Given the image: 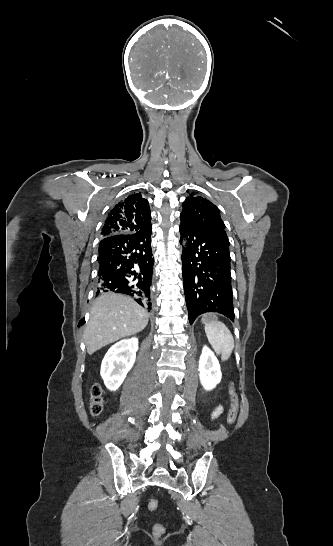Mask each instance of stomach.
<instances>
[{"instance_id":"obj_1","label":"stomach","mask_w":333,"mask_h":546,"mask_svg":"<svg viewBox=\"0 0 333 546\" xmlns=\"http://www.w3.org/2000/svg\"><path fill=\"white\" fill-rule=\"evenodd\" d=\"M206 318H207V317H204V318L202 319V322H203V323L206 322Z\"/></svg>"}]
</instances>
